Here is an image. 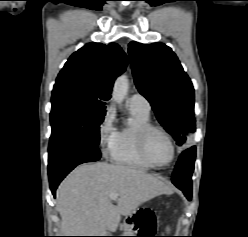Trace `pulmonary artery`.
I'll use <instances>...</instances> for the list:
<instances>
[{
	"label": "pulmonary artery",
	"instance_id": "1",
	"mask_svg": "<svg viewBox=\"0 0 248 237\" xmlns=\"http://www.w3.org/2000/svg\"><path fill=\"white\" fill-rule=\"evenodd\" d=\"M128 106L136 107L143 111L150 112L151 106L146 97L139 93H135L127 100Z\"/></svg>",
	"mask_w": 248,
	"mask_h": 237
}]
</instances>
